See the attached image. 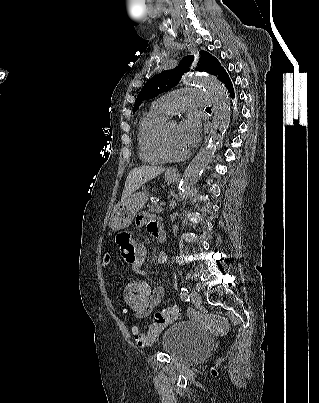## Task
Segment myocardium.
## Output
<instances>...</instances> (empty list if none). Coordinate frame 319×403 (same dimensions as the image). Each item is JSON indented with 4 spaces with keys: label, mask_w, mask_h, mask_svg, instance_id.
Listing matches in <instances>:
<instances>
[{
    "label": "myocardium",
    "mask_w": 319,
    "mask_h": 403,
    "mask_svg": "<svg viewBox=\"0 0 319 403\" xmlns=\"http://www.w3.org/2000/svg\"><path fill=\"white\" fill-rule=\"evenodd\" d=\"M172 123H176V120L168 118L160 127L157 137H156V148L158 153L162 156V158L166 161L171 162H180L188 158L189 152L186 151L179 155L172 154L167 147L166 143V134L169 126Z\"/></svg>",
    "instance_id": "1"
}]
</instances>
